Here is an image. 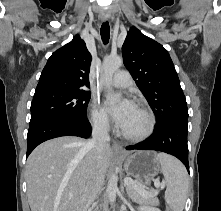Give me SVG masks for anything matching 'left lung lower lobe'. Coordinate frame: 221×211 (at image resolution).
Returning a JSON list of instances; mask_svg holds the SVG:
<instances>
[{"label": "left lung lower lobe", "instance_id": "left-lung-lower-lobe-1", "mask_svg": "<svg viewBox=\"0 0 221 211\" xmlns=\"http://www.w3.org/2000/svg\"><path fill=\"white\" fill-rule=\"evenodd\" d=\"M188 118H177L155 127L154 133L145 141L127 150H156L177 157L189 171L187 128Z\"/></svg>", "mask_w": 221, "mask_h": 211}]
</instances>
